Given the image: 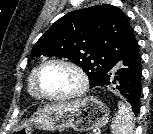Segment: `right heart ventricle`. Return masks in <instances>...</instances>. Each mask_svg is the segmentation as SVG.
<instances>
[{
  "label": "right heart ventricle",
  "mask_w": 153,
  "mask_h": 134,
  "mask_svg": "<svg viewBox=\"0 0 153 134\" xmlns=\"http://www.w3.org/2000/svg\"><path fill=\"white\" fill-rule=\"evenodd\" d=\"M39 66H35L32 71L30 72V75H29V78H28V92L29 94L36 98V99H39L40 96L38 95V93L36 92L35 90V86H34V76H35V73L37 71V68Z\"/></svg>",
  "instance_id": "right-heart-ventricle-1"
}]
</instances>
